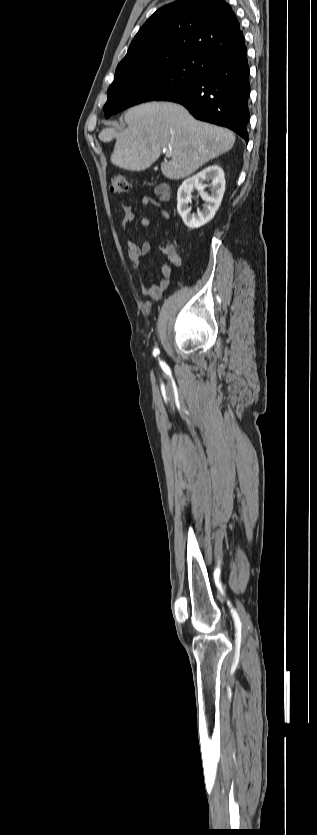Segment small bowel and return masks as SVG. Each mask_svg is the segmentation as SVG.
<instances>
[{"mask_svg":"<svg viewBox=\"0 0 317 835\" xmlns=\"http://www.w3.org/2000/svg\"><path fill=\"white\" fill-rule=\"evenodd\" d=\"M169 199V188L165 184H160L154 189V197L150 195H143L141 202L144 206H150L158 209L162 216L168 220L170 215L163 208V202H167ZM123 210L124 216L122 226L123 230L127 231L129 224H131L135 219V214L129 205H125ZM140 225L143 228H147L150 226V220L148 218H142L140 220ZM150 251L151 245L148 242H144L142 245H138L131 240L127 242V256L135 271H139L142 268V257L147 255ZM162 252L166 257L167 262L163 263L161 266L160 277L157 280L151 279L144 285L145 294L153 300H158L163 295L169 285L173 269L178 267L181 262L179 255L173 248H164Z\"/></svg>","mask_w":317,"mask_h":835,"instance_id":"c3829d8e","label":"small bowel"}]
</instances>
